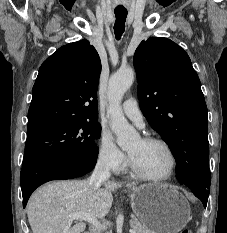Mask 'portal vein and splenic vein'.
I'll return each mask as SVG.
<instances>
[{"mask_svg":"<svg viewBox=\"0 0 227 233\" xmlns=\"http://www.w3.org/2000/svg\"><path fill=\"white\" fill-rule=\"evenodd\" d=\"M69 220H85L89 223H91L95 228L102 229L103 226L100 225L97 218L94 216H91L87 213H81V212H75L68 216ZM130 232H134L132 229H130Z\"/></svg>","mask_w":227,"mask_h":233,"instance_id":"portal-vein-and-splenic-vein-1","label":"portal vein and splenic vein"}]
</instances>
